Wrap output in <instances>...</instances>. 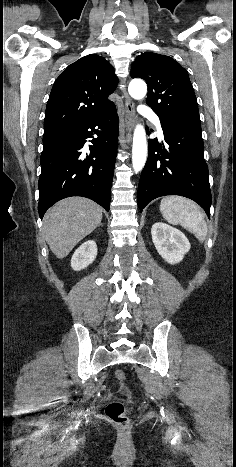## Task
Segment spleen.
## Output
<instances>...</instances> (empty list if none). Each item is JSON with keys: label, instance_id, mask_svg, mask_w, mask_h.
Masks as SVG:
<instances>
[{"label": "spleen", "instance_id": "obj_1", "mask_svg": "<svg viewBox=\"0 0 236 467\" xmlns=\"http://www.w3.org/2000/svg\"><path fill=\"white\" fill-rule=\"evenodd\" d=\"M160 212L170 224H180L183 228L195 234L199 241H204L207 235L204 214L191 200L181 196L163 198L160 203Z\"/></svg>", "mask_w": 236, "mask_h": 467}]
</instances>
